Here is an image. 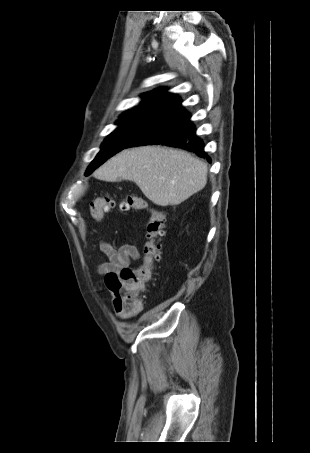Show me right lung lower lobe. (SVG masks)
I'll return each instance as SVG.
<instances>
[{
	"instance_id": "98d812e1",
	"label": "right lung lower lobe",
	"mask_w": 310,
	"mask_h": 453,
	"mask_svg": "<svg viewBox=\"0 0 310 453\" xmlns=\"http://www.w3.org/2000/svg\"><path fill=\"white\" fill-rule=\"evenodd\" d=\"M164 144L194 152L198 156L210 158L203 151L204 144L196 135L190 114L181 103H177L158 117L125 148L139 145Z\"/></svg>"
}]
</instances>
